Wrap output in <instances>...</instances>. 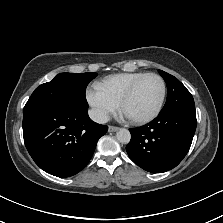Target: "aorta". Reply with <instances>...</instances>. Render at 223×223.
<instances>
[{
	"instance_id": "obj_1",
	"label": "aorta",
	"mask_w": 223,
	"mask_h": 223,
	"mask_svg": "<svg viewBox=\"0 0 223 223\" xmlns=\"http://www.w3.org/2000/svg\"><path fill=\"white\" fill-rule=\"evenodd\" d=\"M116 138L120 143L127 144L131 139V134L129 130L125 128H120L116 133Z\"/></svg>"
}]
</instances>
